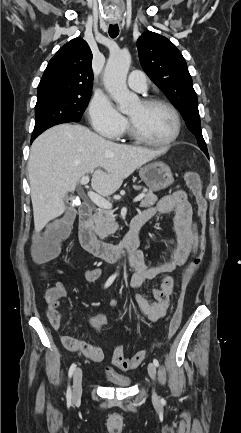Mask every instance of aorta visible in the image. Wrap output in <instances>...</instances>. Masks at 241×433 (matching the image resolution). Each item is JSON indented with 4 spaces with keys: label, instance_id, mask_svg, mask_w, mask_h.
Instances as JSON below:
<instances>
[{
    "label": "aorta",
    "instance_id": "obj_1",
    "mask_svg": "<svg viewBox=\"0 0 241 433\" xmlns=\"http://www.w3.org/2000/svg\"><path fill=\"white\" fill-rule=\"evenodd\" d=\"M131 64V56L126 51L112 53L104 70V85L112 99L119 105L122 113L129 112L139 103L136 94L130 92L126 77Z\"/></svg>",
    "mask_w": 241,
    "mask_h": 433
}]
</instances>
